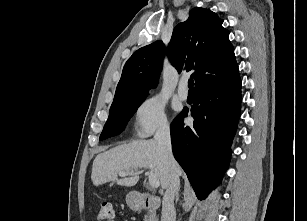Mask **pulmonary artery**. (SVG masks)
I'll return each instance as SVG.
<instances>
[{"label":"pulmonary artery","mask_w":307,"mask_h":221,"mask_svg":"<svg viewBox=\"0 0 307 221\" xmlns=\"http://www.w3.org/2000/svg\"><path fill=\"white\" fill-rule=\"evenodd\" d=\"M187 83H188V82H187L186 79H182V80L179 82L177 94H178V97H179L181 100H186V99L188 98V91H187V89H186Z\"/></svg>","instance_id":"e3ab8cb5"}]
</instances>
